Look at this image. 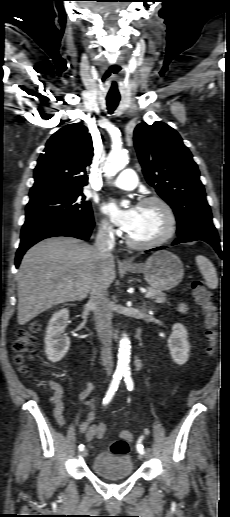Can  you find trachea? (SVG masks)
<instances>
[{"instance_id":"3493384b","label":"trachea","mask_w":230,"mask_h":517,"mask_svg":"<svg viewBox=\"0 0 230 517\" xmlns=\"http://www.w3.org/2000/svg\"><path fill=\"white\" fill-rule=\"evenodd\" d=\"M119 101H120L119 96L107 95L106 104H107L108 112L110 114H112L114 112V110L117 108Z\"/></svg>"}]
</instances>
